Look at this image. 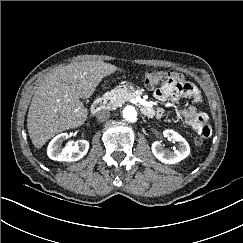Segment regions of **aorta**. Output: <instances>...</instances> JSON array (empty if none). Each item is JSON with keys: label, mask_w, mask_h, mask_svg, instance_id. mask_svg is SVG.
I'll use <instances>...</instances> for the list:
<instances>
[{"label": "aorta", "mask_w": 243, "mask_h": 243, "mask_svg": "<svg viewBox=\"0 0 243 243\" xmlns=\"http://www.w3.org/2000/svg\"><path fill=\"white\" fill-rule=\"evenodd\" d=\"M123 117L129 122H135L137 120V111L135 107L129 105L122 111Z\"/></svg>", "instance_id": "obj_1"}]
</instances>
